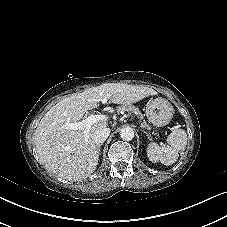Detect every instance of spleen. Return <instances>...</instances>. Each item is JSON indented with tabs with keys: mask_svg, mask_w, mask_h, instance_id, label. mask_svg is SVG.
Segmentation results:
<instances>
[{
	"mask_svg": "<svg viewBox=\"0 0 227 227\" xmlns=\"http://www.w3.org/2000/svg\"><path fill=\"white\" fill-rule=\"evenodd\" d=\"M187 133L185 130L175 128L167 137V146H159L152 142L147 146V157L153 162H161L164 165H172L187 145Z\"/></svg>",
	"mask_w": 227,
	"mask_h": 227,
	"instance_id": "1",
	"label": "spleen"
}]
</instances>
